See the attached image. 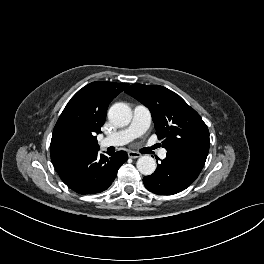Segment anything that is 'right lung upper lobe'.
<instances>
[{
	"label": "right lung upper lobe",
	"instance_id": "cb5924a9",
	"mask_svg": "<svg viewBox=\"0 0 264 264\" xmlns=\"http://www.w3.org/2000/svg\"><path fill=\"white\" fill-rule=\"evenodd\" d=\"M127 86L92 82L71 98L52 134L50 154L56 170L99 150L96 135L101 133L108 105Z\"/></svg>",
	"mask_w": 264,
	"mask_h": 264
}]
</instances>
